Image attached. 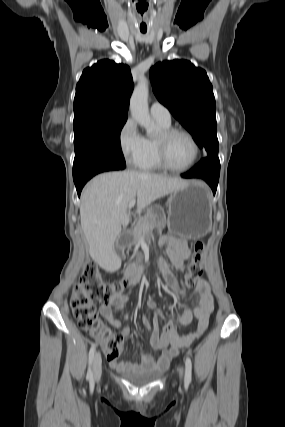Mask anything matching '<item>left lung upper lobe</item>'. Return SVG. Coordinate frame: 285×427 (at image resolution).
<instances>
[{"mask_svg":"<svg viewBox=\"0 0 285 427\" xmlns=\"http://www.w3.org/2000/svg\"><path fill=\"white\" fill-rule=\"evenodd\" d=\"M153 91L192 134L207 156H218L216 103L206 72L187 60L157 63L150 69Z\"/></svg>","mask_w":285,"mask_h":427,"instance_id":"5c2ea615","label":"left lung upper lobe"}]
</instances>
